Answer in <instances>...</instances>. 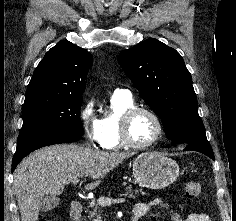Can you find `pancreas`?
<instances>
[{"mask_svg":"<svg viewBox=\"0 0 236 221\" xmlns=\"http://www.w3.org/2000/svg\"><path fill=\"white\" fill-rule=\"evenodd\" d=\"M135 194H138L139 192L144 194L142 189L140 190H134ZM106 215L103 214V211L101 207L98 204H92L91 205V211L88 213V219L89 221H103L105 220Z\"/></svg>","mask_w":236,"mask_h":221,"instance_id":"obj_1","label":"pancreas"}]
</instances>
